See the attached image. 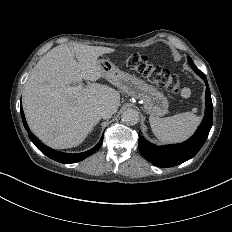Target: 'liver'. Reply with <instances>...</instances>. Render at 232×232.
Masks as SVG:
<instances>
[{
	"instance_id": "6515ba94",
	"label": "liver",
	"mask_w": 232,
	"mask_h": 232,
	"mask_svg": "<svg viewBox=\"0 0 232 232\" xmlns=\"http://www.w3.org/2000/svg\"><path fill=\"white\" fill-rule=\"evenodd\" d=\"M115 51L69 43L51 49L38 61L23 90V108L31 130L44 143L57 149L76 147L101 121L97 114L100 106L118 111L120 93L95 83L103 77L100 57ZM83 78L93 83L74 92L68 90Z\"/></svg>"
}]
</instances>
